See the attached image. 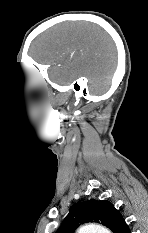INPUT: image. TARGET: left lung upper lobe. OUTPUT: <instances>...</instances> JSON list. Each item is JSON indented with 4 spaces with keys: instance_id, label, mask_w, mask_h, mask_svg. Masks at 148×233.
Segmentation results:
<instances>
[{
    "instance_id": "1",
    "label": "left lung upper lobe",
    "mask_w": 148,
    "mask_h": 233,
    "mask_svg": "<svg viewBox=\"0 0 148 233\" xmlns=\"http://www.w3.org/2000/svg\"><path fill=\"white\" fill-rule=\"evenodd\" d=\"M87 222H97L113 233H126L129 228L120 212L107 200H89L74 204L55 233H74Z\"/></svg>"
}]
</instances>
